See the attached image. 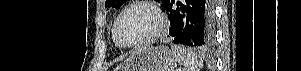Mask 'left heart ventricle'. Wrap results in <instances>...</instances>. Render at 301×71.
Masks as SVG:
<instances>
[{"instance_id":"1","label":"left heart ventricle","mask_w":301,"mask_h":71,"mask_svg":"<svg viewBox=\"0 0 301 71\" xmlns=\"http://www.w3.org/2000/svg\"><path fill=\"white\" fill-rule=\"evenodd\" d=\"M155 26V17L149 10L141 7L132 8L120 21L119 37L124 43H136L148 36Z\"/></svg>"}]
</instances>
